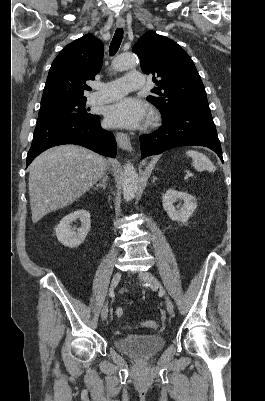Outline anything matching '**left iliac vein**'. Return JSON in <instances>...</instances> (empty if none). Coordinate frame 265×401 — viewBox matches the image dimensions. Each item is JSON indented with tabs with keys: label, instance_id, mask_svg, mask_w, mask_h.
I'll list each match as a JSON object with an SVG mask.
<instances>
[{
	"label": "left iliac vein",
	"instance_id": "1",
	"mask_svg": "<svg viewBox=\"0 0 265 401\" xmlns=\"http://www.w3.org/2000/svg\"><path fill=\"white\" fill-rule=\"evenodd\" d=\"M139 277L142 281L150 283L152 288L161 289L159 282L157 281V279L155 278V276L153 274H151L149 272H142L139 274ZM161 293L163 295H165L167 311L169 312L170 315H173L174 305H173L171 299L166 295L164 289H161Z\"/></svg>",
	"mask_w": 265,
	"mask_h": 401
}]
</instances>
